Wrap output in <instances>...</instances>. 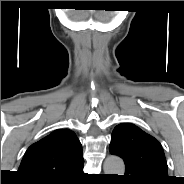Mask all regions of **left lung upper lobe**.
Segmentation results:
<instances>
[{
	"instance_id": "obj_1",
	"label": "left lung upper lobe",
	"mask_w": 184,
	"mask_h": 184,
	"mask_svg": "<svg viewBox=\"0 0 184 184\" xmlns=\"http://www.w3.org/2000/svg\"><path fill=\"white\" fill-rule=\"evenodd\" d=\"M109 150L124 160V177L129 182L166 184L170 180L161 144L132 123L114 128Z\"/></svg>"
}]
</instances>
